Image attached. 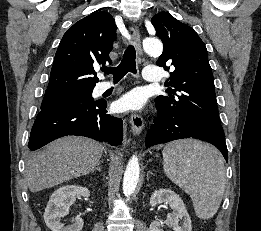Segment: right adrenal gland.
I'll list each match as a JSON object with an SVG mask.
<instances>
[{"mask_svg": "<svg viewBox=\"0 0 261 231\" xmlns=\"http://www.w3.org/2000/svg\"><path fill=\"white\" fill-rule=\"evenodd\" d=\"M101 162H99L96 166H95V168L92 170V172H94V171H98V172H101Z\"/></svg>", "mask_w": 261, "mask_h": 231, "instance_id": "right-adrenal-gland-1", "label": "right adrenal gland"}]
</instances>
